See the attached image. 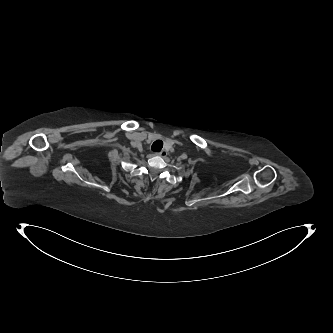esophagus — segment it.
<instances>
[{
  "label": "esophagus",
  "mask_w": 333,
  "mask_h": 333,
  "mask_svg": "<svg viewBox=\"0 0 333 333\" xmlns=\"http://www.w3.org/2000/svg\"><path fill=\"white\" fill-rule=\"evenodd\" d=\"M166 151L165 150H161L159 152H156L155 155H159V156H166Z\"/></svg>",
  "instance_id": "1"
}]
</instances>
